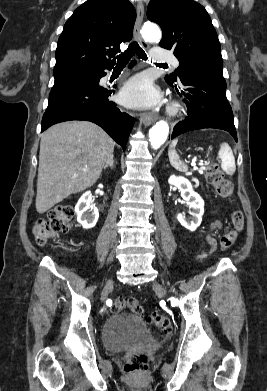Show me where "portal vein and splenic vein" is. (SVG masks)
<instances>
[{
    "instance_id": "18ae733b",
    "label": "portal vein and splenic vein",
    "mask_w": 267,
    "mask_h": 391,
    "mask_svg": "<svg viewBox=\"0 0 267 391\" xmlns=\"http://www.w3.org/2000/svg\"><path fill=\"white\" fill-rule=\"evenodd\" d=\"M191 165L192 166H196L197 165V163H196V161L194 159H192ZM200 165H203V164H200ZM202 169H204V167H202Z\"/></svg>"
}]
</instances>
